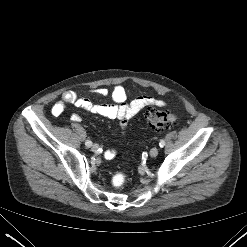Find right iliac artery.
<instances>
[{"label":"right iliac artery","mask_w":247,"mask_h":247,"mask_svg":"<svg viewBox=\"0 0 247 247\" xmlns=\"http://www.w3.org/2000/svg\"><path fill=\"white\" fill-rule=\"evenodd\" d=\"M85 145H86L87 147H91V146H92V142H91L90 140H87V141L85 142Z\"/></svg>","instance_id":"right-iliac-artery-1"}]
</instances>
